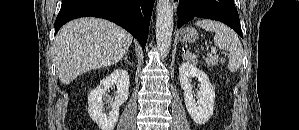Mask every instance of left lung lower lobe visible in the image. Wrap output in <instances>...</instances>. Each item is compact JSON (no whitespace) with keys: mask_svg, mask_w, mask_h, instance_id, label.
Returning <instances> with one entry per match:
<instances>
[{"mask_svg":"<svg viewBox=\"0 0 299 130\" xmlns=\"http://www.w3.org/2000/svg\"><path fill=\"white\" fill-rule=\"evenodd\" d=\"M194 17L223 22L243 38L233 0H179L177 27L180 28Z\"/></svg>","mask_w":299,"mask_h":130,"instance_id":"1","label":"left lung lower lobe"}]
</instances>
